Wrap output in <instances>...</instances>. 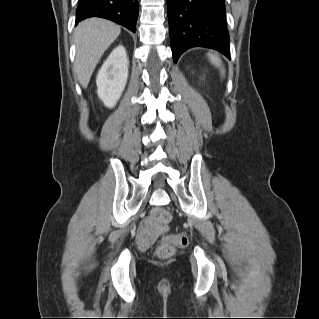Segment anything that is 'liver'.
I'll return each mask as SVG.
<instances>
[{
  "label": "liver",
  "instance_id": "6515ba94",
  "mask_svg": "<svg viewBox=\"0 0 319 319\" xmlns=\"http://www.w3.org/2000/svg\"><path fill=\"white\" fill-rule=\"evenodd\" d=\"M120 32L119 25L101 18L86 19L76 27L74 71L83 88L88 86L100 58L117 39Z\"/></svg>",
  "mask_w": 319,
  "mask_h": 319
}]
</instances>
